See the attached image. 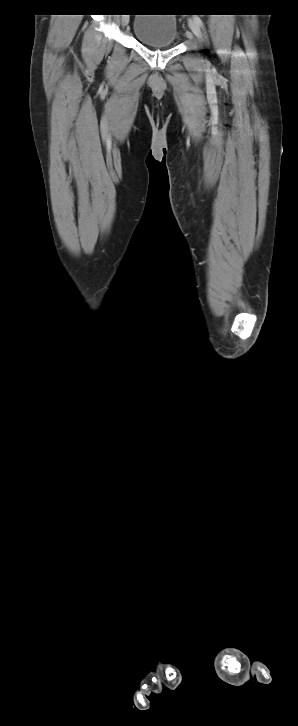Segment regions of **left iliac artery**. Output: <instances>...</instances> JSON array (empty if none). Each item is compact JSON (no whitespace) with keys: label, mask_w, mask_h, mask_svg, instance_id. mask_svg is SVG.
Wrapping results in <instances>:
<instances>
[{"label":"left iliac artery","mask_w":298,"mask_h":726,"mask_svg":"<svg viewBox=\"0 0 298 726\" xmlns=\"http://www.w3.org/2000/svg\"><path fill=\"white\" fill-rule=\"evenodd\" d=\"M193 20H194V21H195V22H196V23H197V24H198L199 26H202V24H203V23H202V20L200 19V17H198V16H194V17H193Z\"/></svg>","instance_id":"obj_1"}]
</instances>
